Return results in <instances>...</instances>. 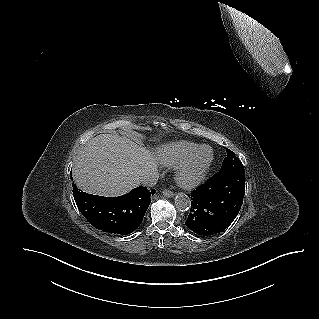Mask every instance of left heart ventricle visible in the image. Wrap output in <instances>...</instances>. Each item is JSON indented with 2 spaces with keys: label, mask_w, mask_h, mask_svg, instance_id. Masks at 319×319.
I'll list each match as a JSON object with an SVG mask.
<instances>
[{
  "label": "left heart ventricle",
  "mask_w": 319,
  "mask_h": 319,
  "mask_svg": "<svg viewBox=\"0 0 319 319\" xmlns=\"http://www.w3.org/2000/svg\"><path fill=\"white\" fill-rule=\"evenodd\" d=\"M209 157H210L209 149H203L199 153L196 161L194 162L193 171L194 172L198 171L204 165V163L209 159Z\"/></svg>",
  "instance_id": "left-heart-ventricle-1"
}]
</instances>
